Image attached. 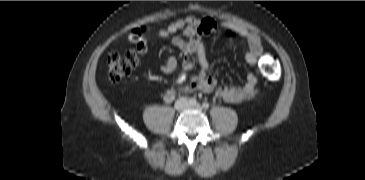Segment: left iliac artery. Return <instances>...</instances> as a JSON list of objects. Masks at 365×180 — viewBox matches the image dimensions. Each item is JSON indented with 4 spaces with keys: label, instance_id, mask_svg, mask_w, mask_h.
Returning a JSON list of instances; mask_svg holds the SVG:
<instances>
[{
    "label": "left iliac artery",
    "instance_id": "obj_1",
    "mask_svg": "<svg viewBox=\"0 0 365 180\" xmlns=\"http://www.w3.org/2000/svg\"><path fill=\"white\" fill-rule=\"evenodd\" d=\"M203 108H204V109H208V108H209V104H208L207 102H204V103H203Z\"/></svg>",
    "mask_w": 365,
    "mask_h": 180
}]
</instances>
